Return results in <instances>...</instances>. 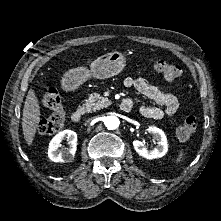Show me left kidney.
Masks as SVG:
<instances>
[{"label": "left kidney", "instance_id": "5707ae66", "mask_svg": "<svg viewBox=\"0 0 221 221\" xmlns=\"http://www.w3.org/2000/svg\"><path fill=\"white\" fill-rule=\"evenodd\" d=\"M149 133H151L154 139L157 141L158 146L152 150H148L142 141L134 140L133 146L135 151L146 159H155L163 157L168 150L167 138L165 133L156 126H149Z\"/></svg>", "mask_w": 221, "mask_h": 221}]
</instances>
